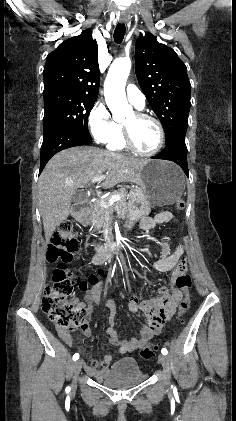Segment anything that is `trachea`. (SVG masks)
Here are the masks:
<instances>
[{
	"label": "trachea",
	"mask_w": 236,
	"mask_h": 421,
	"mask_svg": "<svg viewBox=\"0 0 236 421\" xmlns=\"http://www.w3.org/2000/svg\"><path fill=\"white\" fill-rule=\"evenodd\" d=\"M125 31H126V28H125L124 23H118L113 34L114 42L116 44H120L123 41V38L125 36Z\"/></svg>",
	"instance_id": "obj_1"
}]
</instances>
